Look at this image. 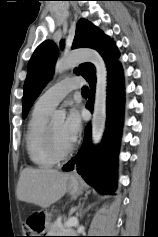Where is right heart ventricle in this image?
Returning <instances> with one entry per match:
<instances>
[{
  "instance_id": "1",
  "label": "right heart ventricle",
  "mask_w": 158,
  "mask_h": 237,
  "mask_svg": "<svg viewBox=\"0 0 158 237\" xmlns=\"http://www.w3.org/2000/svg\"><path fill=\"white\" fill-rule=\"evenodd\" d=\"M51 110L35 104L25 134V144L30 160L40 168L51 167L55 161L48 155L44 146V130Z\"/></svg>"
}]
</instances>
